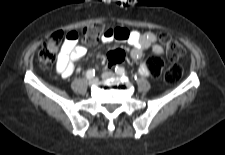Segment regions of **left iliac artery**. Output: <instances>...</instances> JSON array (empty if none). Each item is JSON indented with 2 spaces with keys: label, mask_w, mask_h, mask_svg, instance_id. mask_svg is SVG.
Returning <instances> with one entry per match:
<instances>
[{
  "label": "left iliac artery",
  "mask_w": 225,
  "mask_h": 155,
  "mask_svg": "<svg viewBox=\"0 0 225 155\" xmlns=\"http://www.w3.org/2000/svg\"><path fill=\"white\" fill-rule=\"evenodd\" d=\"M115 72H116V74H118L120 76H123V77H125L127 75L125 69L123 67H120V66H116Z\"/></svg>",
  "instance_id": "1"
}]
</instances>
